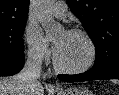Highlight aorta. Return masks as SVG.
Listing matches in <instances>:
<instances>
[{
    "mask_svg": "<svg viewBox=\"0 0 119 95\" xmlns=\"http://www.w3.org/2000/svg\"><path fill=\"white\" fill-rule=\"evenodd\" d=\"M53 2L54 0H35L34 2V14L49 39L56 36L63 29L62 25L55 22L52 16Z\"/></svg>",
    "mask_w": 119,
    "mask_h": 95,
    "instance_id": "aorta-1",
    "label": "aorta"
}]
</instances>
